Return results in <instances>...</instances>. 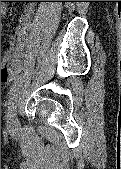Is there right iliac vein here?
I'll list each match as a JSON object with an SVG mask.
<instances>
[{
  "label": "right iliac vein",
  "instance_id": "right-iliac-vein-1",
  "mask_svg": "<svg viewBox=\"0 0 121 169\" xmlns=\"http://www.w3.org/2000/svg\"><path fill=\"white\" fill-rule=\"evenodd\" d=\"M18 99L19 95L16 94L12 106L10 107L7 113V121L9 128L15 130L18 127V119H17V107H18Z\"/></svg>",
  "mask_w": 121,
  "mask_h": 169
}]
</instances>
